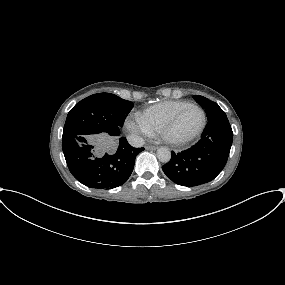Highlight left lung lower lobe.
<instances>
[{
  "label": "left lung lower lobe",
  "mask_w": 285,
  "mask_h": 285,
  "mask_svg": "<svg viewBox=\"0 0 285 285\" xmlns=\"http://www.w3.org/2000/svg\"><path fill=\"white\" fill-rule=\"evenodd\" d=\"M233 140L226 116L208 120L201 139L162 166L166 176L178 185L193 187L212 181L224 168Z\"/></svg>",
  "instance_id": "1"
}]
</instances>
